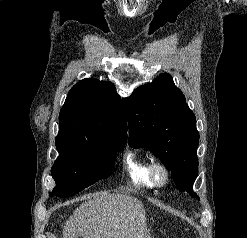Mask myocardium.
Returning a JSON list of instances; mask_svg holds the SVG:
<instances>
[{
    "label": "myocardium",
    "mask_w": 247,
    "mask_h": 238,
    "mask_svg": "<svg viewBox=\"0 0 247 238\" xmlns=\"http://www.w3.org/2000/svg\"><path fill=\"white\" fill-rule=\"evenodd\" d=\"M148 173L151 183L156 187L166 185L170 179L168 166L160 160H154L150 163Z\"/></svg>",
    "instance_id": "myocardium-1"
}]
</instances>
